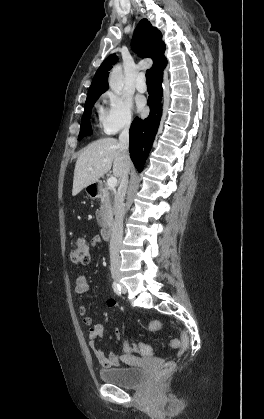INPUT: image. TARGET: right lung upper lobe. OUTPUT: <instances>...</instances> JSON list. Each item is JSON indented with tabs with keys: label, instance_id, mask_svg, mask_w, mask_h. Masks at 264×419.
I'll use <instances>...</instances> for the list:
<instances>
[{
	"label": "right lung upper lobe",
	"instance_id": "right-lung-upper-lobe-1",
	"mask_svg": "<svg viewBox=\"0 0 264 419\" xmlns=\"http://www.w3.org/2000/svg\"><path fill=\"white\" fill-rule=\"evenodd\" d=\"M132 48L134 51H137V48H139L144 57L153 59L154 64L151 68L153 76L163 71L167 61L164 56L165 44L162 42V34L156 27H153L147 19H142L136 26L133 35ZM117 60L118 58L116 55L112 54L103 61L92 80L87 99L101 95L108 89L109 70Z\"/></svg>",
	"mask_w": 264,
	"mask_h": 419
}]
</instances>
